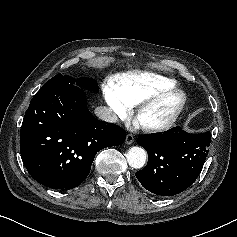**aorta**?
Returning <instances> with one entry per match:
<instances>
[{
  "label": "aorta",
  "instance_id": "1",
  "mask_svg": "<svg viewBox=\"0 0 237 237\" xmlns=\"http://www.w3.org/2000/svg\"><path fill=\"white\" fill-rule=\"evenodd\" d=\"M126 157L128 164L131 167L138 169L144 166L147 153L143 148L135 146L129 149Z\"/></svg>",
  "mask_w": 237,
  "mask_h": 237
}]
</instances>
